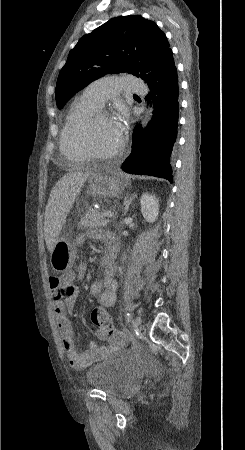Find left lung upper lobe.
Segmentation results:
<instances>
[{
    "label": "left lung upper lobe",
    "instance_id": "left-lung-upper-lobe-1",
    "mask_svg": "<svg viewBox=\"0 0 245 450\" xmlns=\"http://www.w3.org/2000/svg\"><path fill=\"white\" fill-rule=\"evenodd\" d=\"M172 58L165 34L140 15L110 19L70 51L56 85L62 108L78 91L108 73L128 72L147 81Z\"/></svg>",
    "mask_w": 245,
    "mask_h": 450
}]
</instances>
